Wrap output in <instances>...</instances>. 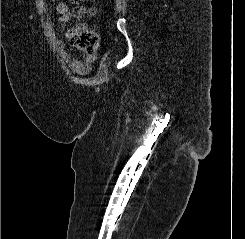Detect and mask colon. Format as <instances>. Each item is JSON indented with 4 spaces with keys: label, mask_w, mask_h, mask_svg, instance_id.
I'll return each mask as SVG.
<instances>
[{
    "label": "colon",
    "mask_w": 245,
    "mask_h": 239,
    "mask_svg": "<svg viewBox=\"0 0 245 239\" xmlns=\"http://www.w3.org/2000/svg\"><path fill=\"white\" fill-rule=\"evenodd\" d=\"M83 1L84 0H71V2L75 4L72 11L73 15L79 18L83 16H93L95 9L84 7L81 5ZM66 37L72 47L78 49L85 55L93 54L97 50L99 38L93 31L78 26L67 30Z\"/></svg>",
    "instance_id": "5ec220e1"
}]
</instances>
